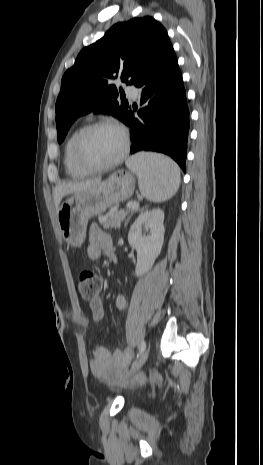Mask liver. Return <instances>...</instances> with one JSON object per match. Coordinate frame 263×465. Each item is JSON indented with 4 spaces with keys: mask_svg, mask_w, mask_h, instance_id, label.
<instances>
[{
    "mask_svg": "<svg viewBox=\"0 0 263 465\" xmlns=\"http://www.w3.org/2000/svg\"><path fill=\"white\" fill-rule=\"evenodd\" d=\"M99 183H101V179L96 178V179H90V180L81 181V182L63 183V184L56 186L53 192L56 212H58L60 208L59 205L63 197H65L66 195L72 194V193L86 190Z\"/></svg>",
    "mask_w": 263,
    "mask_h": 465,
    "instance_id": "6515ba94",
    "label": "liver"
}]
</instances>
